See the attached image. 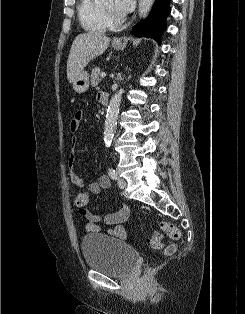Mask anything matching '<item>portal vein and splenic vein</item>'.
Segmentation results:
<instances>
[{
    "instance_id": "portal-vein-and-splenic-vein-1",
    "label": "portal vein and splenic vein",
    "mask_w": 245,
    "mask_h": 314,
    "mask_svg": "<svg viewBox=\"0 0 245 314\" xmlns=\"http://www.w3.org/2000/svg\"><path fill=\"white\" fill-rule=\"evenodd\" d=\"M100 77H101V78L106 77V73H105V72L101 73V74H100Z\"/></svg>"
}]
</instances>
